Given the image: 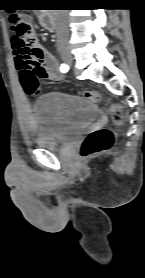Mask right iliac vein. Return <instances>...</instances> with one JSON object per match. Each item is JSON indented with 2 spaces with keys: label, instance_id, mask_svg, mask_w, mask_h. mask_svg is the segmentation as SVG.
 <instances>
[{
  "label": "right iliac vein",
  "instance_id": "63e3f726",
  "mask_svg": "<svg viewBox=\"0 0 145 278\" xmlns=\"http://www.w3.org/2000/svg\"><path fill=\"white\" fill-rule=\"evenodd\" d=\"M60 54H61V57H62L63 61L65 62V64H67V65L72 64L73 58L68 49L60 50Z\"/></svg>",
  "mask_w": 145,
  "mask_h": 278
}]
</instances>
